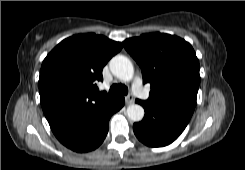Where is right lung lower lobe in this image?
<instances>
[{"label":"right lung lower lobe","mask_w":245,"mask_h":170,"mask_svg":"<svg viewBox=\"0 0 245 170\" xmlns=\"http://www.w3.org/2000/svg\"><path fill=\"white\" fill-rule=\"evenodd\" d=\"M124 103L123 96H115L102 105L78 132L61 143L76 152H88L96 149L107 135L110 117L119 111Z\"/></svg>","instance_id":"obj_1"}]
</instances>
